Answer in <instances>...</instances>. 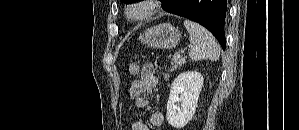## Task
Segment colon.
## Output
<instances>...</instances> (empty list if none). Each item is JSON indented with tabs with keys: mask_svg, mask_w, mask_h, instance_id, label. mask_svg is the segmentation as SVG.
<instances>
[{
	"mask_svg": "<svg viewBox=\"0 0 299 130\" xmlns=\"http://www.w3.org/2000/svg\"><path fill=\"white\" fill-rule=\"evenodd\" d=\"M129 73L133 77H137L139 75V73H140V67H139L138 63L132 62L129 65Z\"/></svg>",
	"mask_w": 299,
	"mask_h": 130,
	"instance_id": "1",
	"label": "colon"
}]
</instances>
